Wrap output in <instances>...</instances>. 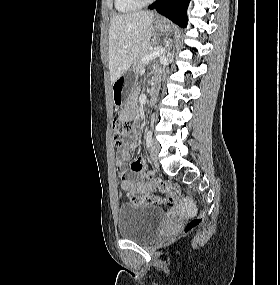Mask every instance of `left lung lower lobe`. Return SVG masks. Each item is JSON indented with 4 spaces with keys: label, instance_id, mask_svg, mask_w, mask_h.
I'll list each match as a JSON object with an SVG mask.
<instances>
[{
    "label": "left lung lower lobe",
    "instance_id": "left-lung-lower-lobe-1",
    "mask_svg": "<svg viewBox=\"0 0 280 285\" xmlns=\"http://www.w3.org/2000/svg\"><path fill=\"white\" fill-rule=\"evenodd\" d=\"M190 0H158L149 9L156 11L181 27L187 25V8Z\"/></svg>",
    "mask_w": 280,
    "mask_h": 285
}]
</instances>
